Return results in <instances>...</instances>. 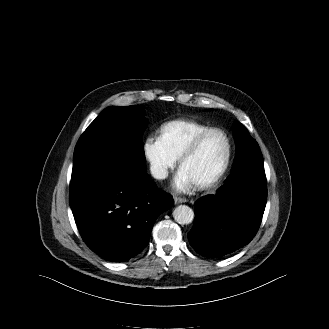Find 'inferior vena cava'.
Returning <instances> with one entry per match:
<instances>
[{
    "mask_svg": "<svg viewBox=\"0 0 329 329\" xmlns=\"http://www.w3.org/2000/svg\"><path fill=\"white\" fill-rule=\"evenodd\" d=\"M151 174L156 179H165L168 176V171L161 165H151Z\"/></svg>",
    "mask_w": 329,
    "mask_h": 329,
    "instance_id": "602c4592",
    "label": "inferior vena cava"
}]
</instances>
